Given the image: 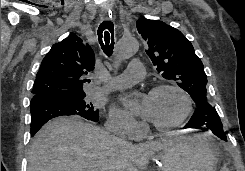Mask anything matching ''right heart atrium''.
<instances>
[{"instance_id":"d8ad5b80","label":"right heart atrium","mask_w":245,"mask_h":171,"mask_svg":"<svg viewBox=\"0 0 245 171\" xmlns=\"http://www.w3.org/2000/svg\"><path fill=\"white\" fill-rule=\"evenodd\" d=\"M108 126L112 130L129 137H135L141 129L140 123L125 111L117 108L110 111Z\"/></svg>"}]
</instances>
